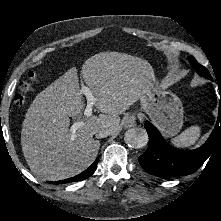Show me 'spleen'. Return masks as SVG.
Instances as JSON below:
<instances>
[{"label":"spleen","mask_w":221,"mask_h":221,"mask_svg":"<svg viewBox=\"0 0 221 221\" xmlns=\"http://www.w3.org/2000/svg\"><path fill=\"white\" fill-rule=\"evenodd\" d=\"M201 129L199 126H191L180 135L174 137L171 143L178 148H185L193 145L200 137Z\"/></svg>","instance_id":"spleen-1"}]
</instances>
